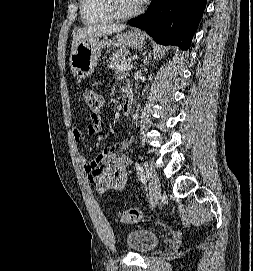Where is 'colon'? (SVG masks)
<instances>
[{
    "label": "colon",
    "instance_id": "colon-1",
    "mask_svg": "<svg viewBox=\"0 0 253 271\" xmlns=\"http://www.w3.org/2000/svg\"><path fill=\"white\" fill-rule=\"evenodd\" d=\"M84 100L92 111L93 114H97L102 107V98L95 90L86 89L83 92ZM142 218V211L137 207L129 208L119 214V219L123 223H136Z\"/></svg>",
    "mask_w": 253,
    "mask_h": 271
}]
</instances>
